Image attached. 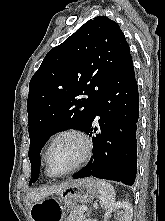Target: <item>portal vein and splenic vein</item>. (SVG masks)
I'll return each instance as SVG.
<instances>
[{
	"label": "portal vein and splenic vein",
	"instance_id": "1",
	"mask_svg": "<svg viewBox=\"0 0 165 221\" xmlns=\"http://www.w3.org/2000/svg\"><path fill=\"white\" fill-rule=\"evenodd\" d=\"M81 209H82L83 211H87V210H88V208H87L86 206H82Z\"/></svg>",
	"mask_w": 165,
	"mask_h": 221
}]
</instances>
